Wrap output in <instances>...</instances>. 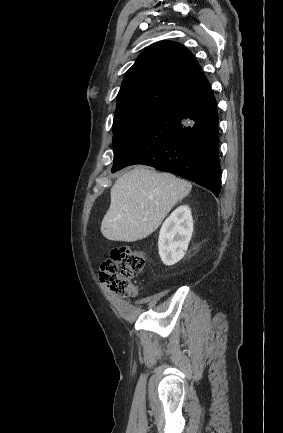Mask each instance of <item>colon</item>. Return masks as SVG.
Returning <instances> with one entry per match:
<instances>
[{
	"instance_id": "1",
	"label": "colon",
	"mask_w": 283,
	"mask_h": 433,
	"mask_svg": "<svg viewBox=\"0 0 283 433\" xmlns=\"http://www.w3.org/2000/svg\"><path fill=\"white\" fill-rule=\"evenodd\" d=\"M145 266V256L141 251L128 246L114 248L110 257L101 264L100 279L115 294L130 297L137 294L131 279Z\"/></svg>"
}]
</instances>
